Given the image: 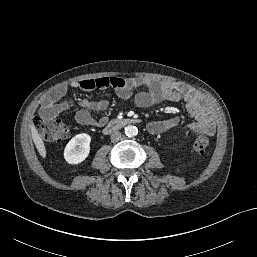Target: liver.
Returning a JSON list of instances; mask_svg holds the SVG:
<instances>
[{"label": "liver", "mask_w": 257, "mask_h": 257, "mask_svg": "<svg viewBox=\"0 0 257 257\" xmlns=\"http://www.w3.org/2000/svg\"><path fill=\"white\" fill-rule=\"evenodd\" d=\"M31 134L39 154L42 158H46V148L44 142L34 125H31Z\"/></svg>", "instance_id": "1"}]
</instances>
